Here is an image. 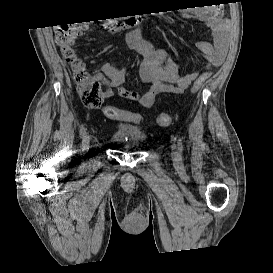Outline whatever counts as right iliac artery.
<instances>
[{
  "label": "right iliac artery",
  "instance_id": "1",
  "mask_svg": "<svg viewBox=\"0 0 273 273\" xmlns=\"http://www.w3.org/2000/svg\"><path fill=\"white\" fill-rule=\"evenodd\" d=\"M79 133H80V137H82L84 135L85 127L83 125L81 126Z\"/></svg>",
  "mask_w": 273,
  "mask_h": 273
}]
</instances>
